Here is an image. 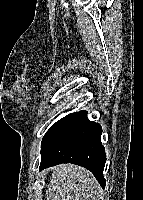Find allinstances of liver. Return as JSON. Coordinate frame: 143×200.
Returning <instances> with one entry per match:
<instances>
[{"instance_id": "obj_1", "label": "liver", "mask_w": 143, "mask_h": 200, "mask_svg": "<svg viewBox=\"0 0 143 200\" xmlns=\"http://www.w3.org/2000/svg\"><path fill=\"white\" fill-rule=\"evenodd\" d=\"M100 193L99 184L90 171L73 164H61L53 168L46 199L96 200Z\"/></svg>"}]
</instances>
